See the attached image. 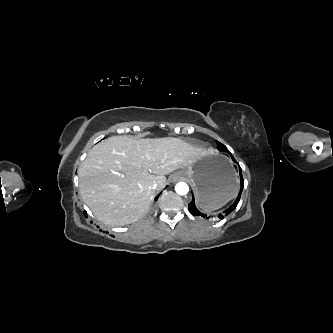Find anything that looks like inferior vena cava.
Returning <instances> with one entry per match:
<instances>
[{"mask_svg": "<svg viewBox=\"0 0 333 333\" xmlns=\"http://www.w3.org/2000/svg\"><path fill=\"white\" fill-rule=\"evenodd\" d=\"M157 187H158L157 183H154L150 186V188L153 189V190L157 189Z\"/></svg>", "mask_w": 333, "mask_h": 333, "instance_id": "obj_1", "label": "inferior vena cava"}]
</instances>
